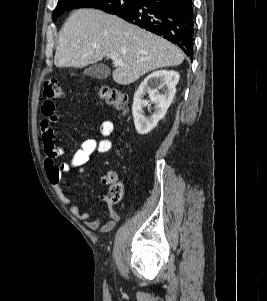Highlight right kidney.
<instances>
[{"label":"right kidney","instance_id":"1","mask_svg":"<svg viewBox=\"0 0 267 301\" xmlns=\"http://www.w3.org/2000/svg\"><path fill=\"white\" fill-rule=\"evenodd\" d=\"M179 73L176 71L160 70L148 75L140 84L135 92L132 106V114L137 133H149L161 120L169 106L171 105L176 93V85L179 81ZM166 85L164 94L158 91L163 85ZM148 93L152 102L156 104L154 113L146 118L143 107L148 106L147 101L143 100L144 95Z\"/></svg>","mask_w":267,"mask_h":301}]
</instances>
